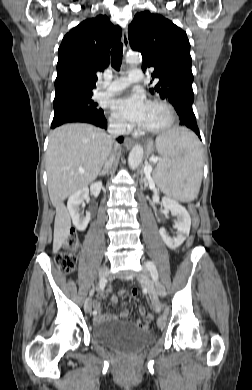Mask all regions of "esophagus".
<instances>
[{
    "instance_id": "esophagus-1",
    "label": "esophagus",
    "mask_w": 252,
    "mask_h": 390,
    "mask_svg": "<svg viewBox=\"0 0 252 390\" xmlns=\"http://www.w3.org/2000/svg\"><path fill=\"white\" fill-rule=\"evenodd\" d=\"M122 44H123V47H124V50H127L128 48V45H129V40H128V32H127V29L125 28L123 30V33H122ZM134 144V141L131 139V138H125L124 140V145L126 147H131L132 145Z\"/></svg>"
}]
</instances>
